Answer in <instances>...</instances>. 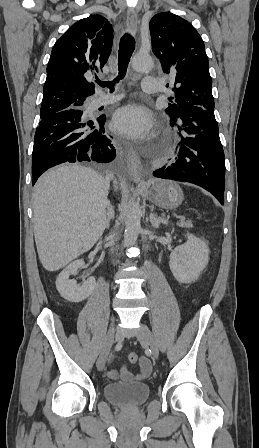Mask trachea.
I'll list each match as a JSON object with an SVG mask.
<instances>
[{"label":"trachea","mask_w":259,"mask_h":448,"mask_svg":"<svg viewBox=\"0 0 259 448\" xmlns=\"http://www.w3.org/2000/svg\"><path fill=\"white\" fill-rule=\"evenodd\" d=\"M134 50H135L134 37H132V35L128 34V33L124 34L120 40L119 51H118L119 75L113 81H104L103 82L101 80H98L97 83L100 87H103V88L108 87L110 89V92L114 91V88H113L114 84L119 82L120 79H123L126 74L128 64H129L130 58H131Z\"/></svg>","instance_id":"3493384b"}]
</instances>
